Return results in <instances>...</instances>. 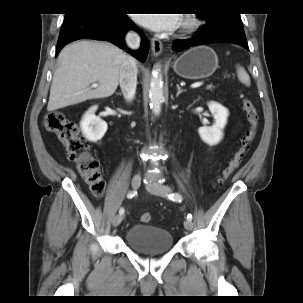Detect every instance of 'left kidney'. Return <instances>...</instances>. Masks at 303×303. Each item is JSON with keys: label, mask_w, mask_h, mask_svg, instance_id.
<instances>
[{"label": "left kidney", "mask_w": 303, "mask_h": 303, "mask_svg": "<svg viewBox=\"0 0 303 303\" xmlns=\"http://www.w3.org/2000/svg\"><path fill=\"white\" fill-rule=\"evenodd\" d=\"M208 108L213 116L212 126H203L198 129L201 139L210 146L216 145L223 138V129L227 123L229 111L221 104L211 101Z\"/></svg>", "instance_id": "left-kidney-1"}]
</instances>
